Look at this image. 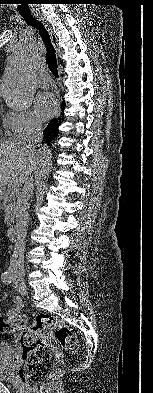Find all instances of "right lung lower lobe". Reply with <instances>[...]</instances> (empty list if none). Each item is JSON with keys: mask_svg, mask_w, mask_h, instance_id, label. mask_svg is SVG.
<instances>
[{"mask_svg": "<svg viewBox=\"0 0 153 393\" xmlns=\"http://www.w3.org/2000/svg\"><path fill=\"white\" fill-rule=\"evenodd\" d=\"M61 109H62V111L65 109V101L62 102ZM63 120H64V117L59 116V117L53 118L48 123V126L43 131L45 143H50L58 135V132H59L58 128L61 125Z\"/></svg>", "mask_w": 153, "mask_h": 393, "instance_id": "1", "label": "right lung lower lobe"}]
</instances>
